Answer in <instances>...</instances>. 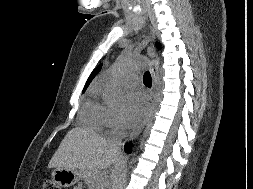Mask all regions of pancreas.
Returning <instances> with one entry per match:
<instances>
[{
	"label": "pancreas",
	"instance_id": "cf45deb5",
	"mask_svg": "<svg viewBox=\"0 0 253 189\" xmlns=\"http://www.w3.org/2000/svg\"><path fill=\"white\" fill-rule=\"evenodd\" d=\"M81 178L86 184L92 186L93 188H103V178L94 169L81 168Z\"/></svg>",
	"mask_w": 253,
	"mask_h": 189
}]
</instances>
